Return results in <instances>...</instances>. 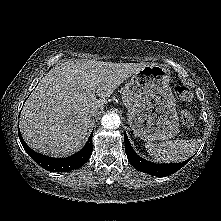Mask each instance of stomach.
<instances>
[{"mask_svg": "<svg viewBox=\"0 0 221 221\" xmlns=\"http://www.w3.org/2000/svg\"><path fill=\"white\" fill-rule=\"evenodd\" d=\"M170 70L146 65L133 74L122 92L128 123L136 137L146 142L168 140L179 132L176 101L170 87Z\"/></svg>", "mask_w": 221, "mask_h": 221, "instance_id": "0dacf381", "label": "stomach"}]
</instances>
